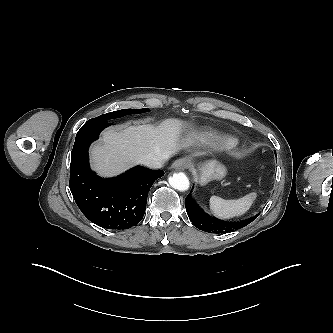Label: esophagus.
Masks as SVG:
<instances>
[{
  "label": "esophagus",
  "mask_w": 333,
  "mask_h": 333,
  "mask_svg": "<svg viewBox=\"0 0 333 333\" xmlns=\"http://www.w3.org/2000/svg\"><path fill=\"white\" fill-rule=\"evenodd\" d=\"M175 170H185L188 167V163L185 159H177L173 162L172 166Z\"/></svg>",
  "instance_id": "34e87169"
}]
</instances>
